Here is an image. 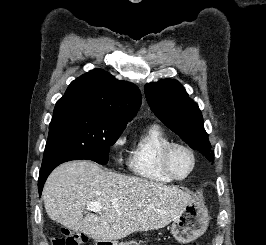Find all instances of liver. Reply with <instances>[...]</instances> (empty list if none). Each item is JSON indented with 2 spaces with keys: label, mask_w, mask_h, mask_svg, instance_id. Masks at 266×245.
<instances>
[{
  "label": "liver",
  "mask_w": 266,
  "mask_h": 245,
  "mask_svg": "<svg viewBox=\"0 0 266 245\" xmlns=\"http://www.w3.org/2000/svg\"><path fill=\"white\" fill-rule=\"evenodd\" d=\"M42 195L52 221L98 241L162 229L194 203L190 193L177 187L103 171L92 161H70L57 167ZM88 203H100L101 213L83 217Z\"/></svg>",
  "instance_id": "obj_1"
}]
</instances>
